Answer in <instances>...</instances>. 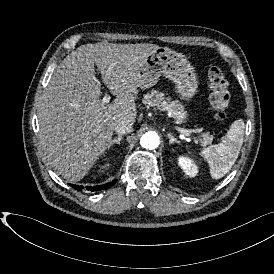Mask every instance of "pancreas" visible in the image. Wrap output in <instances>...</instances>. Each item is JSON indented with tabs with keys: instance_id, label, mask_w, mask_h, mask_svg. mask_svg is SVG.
Masks as SVG:
<instances>
[{
	"instance_id": "pancreas-1",
	"label": "pancreas",
	"mask_w": 274,
	"mask_h": 274,
	"mask_svg": "<svg viewBox=\"0 0 274 274\" xmlns=\"http://www.w3.org/2000/svg\"><path fill=\"white\" fill-rule=\"evenodd\" d=\"M143 103L151 107H157L161 111L170 112L171 117L175 119L177 124L184 123L188 116L182 104L178 101H172L171 97H165L164 93L156 90H151L150 93L145 94ZM195 141L200 143L201 146H207L212 143L213 136L209 132L202 133L200 138H195Z\"/></svg>"
}]
</instances>
